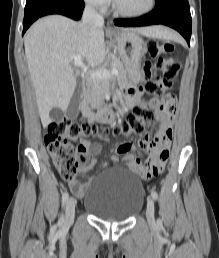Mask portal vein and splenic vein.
Listing matches in <instances>:
<instances>
[{
	"label": "portal vein and splenic vein",
	"mask_w": 219,
	"mask_h": 258,
	"mask_svg": "<svg viewBox=\"0 0 219 258\" xmlns=\"http://www.w3.org/2000/svg\"><path fill=\"white\" fill-rule=\"evenodd\" d=\"M74 65L76 67H80L84 73L87 72V67L84 65V63L81 60V56H74ZM118 70L116 68H113L111 71H108L107 69H99L96 71H92L90 73V77L92 78H98V79H108L111 75H117Z\"/></svg>",
	"instance_id": "18ae733b"
}]
</instances>
